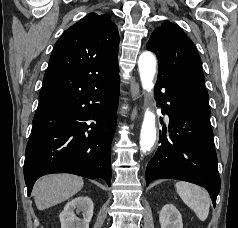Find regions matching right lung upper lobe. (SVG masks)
<instances>
[{"label":"right lung upper lobe","mask_w":238,"mask_h":228,"mask_svg":"<svg viewBox=\"0 0 238 228\" xmlns=\"http://www.w3.org/2000/svg\"><path fill=\"white\" fill-rule=\"evenodd\" d=\"M119 34L108 14L90 13L56 42L44 75L39 106L58 103L119 79Z\"/></svg>","instance_id":"1"}]
</instances>
